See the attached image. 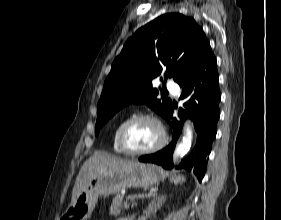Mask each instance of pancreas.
I'll use <instances>...</instances> for the list:
<instances>
[{"mask_svg":"<svg viewBox=\"0 0 281 220\" xmlns=\"http://www.w3.org/2000/svg\"><path fill=\"white\" fill-rule=\"evenodd\" d=\"M124 196L122 194H117L113 200L110 207V212L114 215H119L121 212V209L128 210L129 209V203L127 201L123 200Z\"/></svg>","mask_w":281,"mask_h":220,"instance_id":"obj_1","label":"pancreas"}]
</instances>
